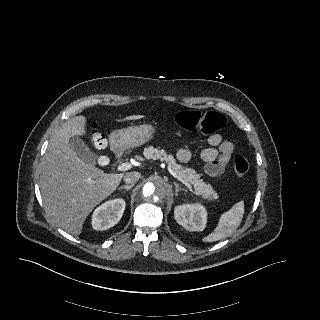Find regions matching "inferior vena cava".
Returning <instances> with one entry per match:
<instances>
[{"instance_id": "inferior-vena-cava-1", "label": "inferior vena cava", "mask_w": 320, "mask_h": 320, "mask_svg": "<svg viewBox=\"0 0 320 320\" xmlns=\"http://www.w3.org/2000/svg\"><path fill=\"white\" fill-rule=\"evenodd\" d=\"M141 177V174L139 172L133 171L129 172L124 176V182L127 184H134L137 182Z\"/></svg>"}]
</instances>
